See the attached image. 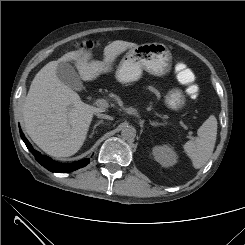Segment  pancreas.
I'll list each match as a JSON object with an SVG mask.
<instances>
[{
    "label": "pancreas",
    "instance_id": "1",
    "mask_svg": "<svg viewBox=\"0 0 245 245\" xmlns=\"http://www.w3.org/2000/svg\"><path fill=\"white\" fill-rule=\"evenodd\" d=\"M146 89H148L149 91L154 93L158 100L160 99V97H161L160 92L155 87L148 86Z\"/></svg>",
    "mask_w": 245,
    "mask_h": 245
}]
</instances>
